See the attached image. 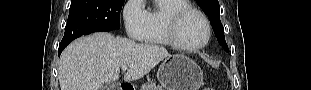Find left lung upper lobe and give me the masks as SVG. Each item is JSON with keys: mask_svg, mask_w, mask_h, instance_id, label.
<instances>
[{"mask_svg": "<svg viewBox=\"0 0 311 90\" xmlns=\"http://www.w3.org/2000/svg\"><path fill=\"white\" fill-rule=\"evenodd\" d=\"M196 2L208 16L219 44L225 49L226 52H229L225 41L224 28L220 21V5L218 0H196Z\"/></svg>", "mask_w": 311, "mask_h": 90, "instance_id": "5c2ea615", "label": "left lung upper lobe"}]
</instances>
